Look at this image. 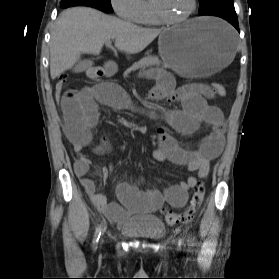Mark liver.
<instances>
[{"label": "liver", "instance_id": "liver-1", "mask_svg": "<svg viewBox=\"0 0 279 279\" xmlns=\"http://www.w3.org/2000/svg\"><path fill=\"white\" fill-rule=\"evenodd\" d=\"M161 29L143 28L89 7L63 11L55 22L50 40V75L60 76L82 53L98 55L107 41L127 55L143 51Z\"/></svg>", "mask_w": 279, "mask_h": 279}]
</instances>
